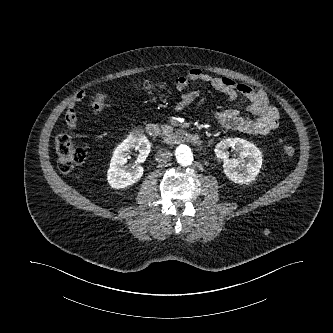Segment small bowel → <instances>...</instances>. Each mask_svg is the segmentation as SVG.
<instances>
[{
	"label": "small bowel",
	"instance_id": "c3829d8e",
	"mask_svg": "<svg viewBox=\"0 0 333 333\" xmlns=\"http://www.w3.org/2000/svg\"><path fill=\"white\" fill-rule=\"evenodd\" d=\"M195 83L208 84L215 90L226 94L232 101L236 100L239 94L244 95L249 100L248 109L254 118L243 117L238 109L229 107L214 115L215 119L223 126L248 135H267L278 127L279 112L269 104L267 95L263 90L236 82L228 77H213L198 68H192L185 76L177 78L174 86L177 91H182ZM106 97V94H96L92 97V100L103 105ZM197 97L198 91H189L177 100L175 108L180 109L188 106ZM85 98V92H78L68 104L65 122L71 129L77 128L78 125L75 107Z\"/></svg>",
	"mask_w": 333,
	"mask_h": 333
}]
</instances>
